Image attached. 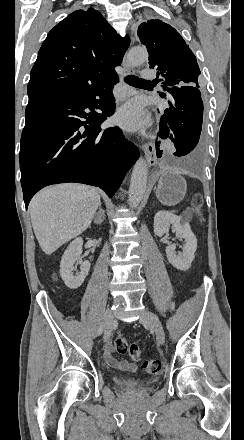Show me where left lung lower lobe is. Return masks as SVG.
Here are the masks:
<instances>
[{"label":"left lung lower lobe","mask_w":244,"mask_h":440,"mask_svg":"<svg viewBox=\"0 0 244 440\" xmlns=\"http://www.w3.org/2000/svg\"><path fill=\"white\" fill-rule=\"evenodd\" d=\"M200 87V86H199ZM195 86H173L167 88L170 107L164 111L160 119L159 134L161 138L169 136V127L173 131L170 139L174 143L175 156H184L190 153L198 144L203 120V102L201 93ZM166 98V95H161ZM157 157H161L156 149Z\"/></svg>","instance_id":"1"}]
</instances>
